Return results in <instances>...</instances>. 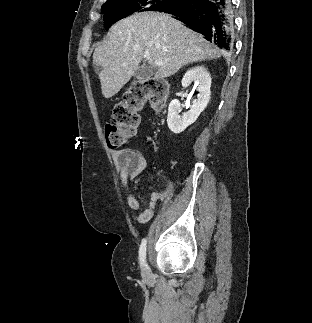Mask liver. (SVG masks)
I'll list each match as a JSON object with an SVG mask.
<instances>
[{"label":"liver","mask_w":312,"mask_h":323,"mask_svg":"<svg viewBox=\"0 0 312 323\" xmlns=\"http://www.w3.org/2000/svg\"><path fill=\"white\" fill-rule=\"evenodd\" d=\"M145 58L152 68L156 62H167L157 66L155 78L163 80L176 74L182 66L191 62H202L207 58H219L204 36L189 30L171 14L164 12H140L112 26L108 40L95 48L94 66H101L99 80L104 98H112L129 82Z\"/></svg>","instance_id":"6515ba94"}]
</instances>
